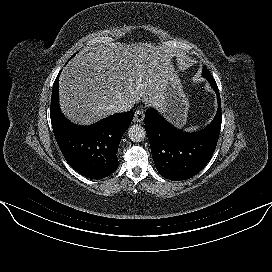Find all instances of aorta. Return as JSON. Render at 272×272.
Returning a JSON list of instances; mask_svg holds the SVG:
<instances>
[{"instance_id": "762f6f07", "label": "aorta", "mask_w": 272, "mask_h": 272, "mask_svg": "<svg viewBox=\"0 0 272 272\" xmlns=\"http://www.w3.org/2000/svg\"><path fill=\"white\" fill-rule=\"evenodd\" d=\"M128 136L133 142H141L146 137V131L141 125L134 124L129 127Z\"/></svg>"}]
</instances>
